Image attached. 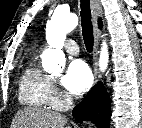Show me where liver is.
<instances>
[{"mask_svg": "<svg viewBox=\"0 0 142 128\" xmlns=\"http://www.w3.org/2000/svg\"><path fill=\"white\" fill-rule=\"evenodd\" d=\"M66 123V117L50 109L26 107L15 114L12 128H64Z\"/></svg>", "mask_w": 142, "mask_h": 128, "instance_id": "6515ba94", "label": "liver"}]
</instances>
